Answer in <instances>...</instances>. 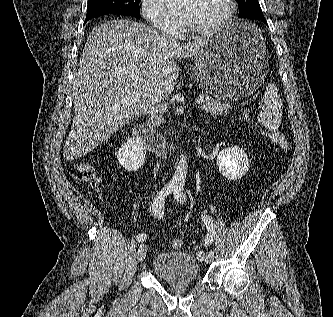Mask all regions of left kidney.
Listing matches in <instances>:
<instances>
[{"label": "left kidney", "instance_id": "5707ae66", "mask_svg": "<svg viewBox=\"0 0 333 317\" xmlns=\"http://www.w3.org/2000/svg\"><path fill=\"white\" fill-rule=\"evenodd\" d=\"M220 173L229 180L241 179L249 169V160L245 151L239 146L225 148L217 156Z\"/></svg>", "mask_w": 333, "mask_h": 317}]
</instances>
